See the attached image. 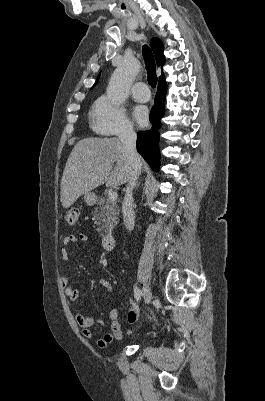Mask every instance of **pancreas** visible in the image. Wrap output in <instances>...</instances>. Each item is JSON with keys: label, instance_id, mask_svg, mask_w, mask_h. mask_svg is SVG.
<instances>
[{"label": "pancreas", "instance_id": "cf45deb5", "mask_svg": "<svg viewBox=\"0 0 265 401\" xmlns=\"http://www.w3.org/2000/svg\"><path fill=\"white\" fill-rule=\"evenodd\" d=\"M118 211L119 209L118 205H116V201H111V198H107V196H101V198H99L97 207L92 211V217H95L98 221L97 231L99 237H104L101 231H104V233H111L115 225L119 223Z\"/></svg>", "mask_w": 265, "mask_h": 401}]
</instances>
